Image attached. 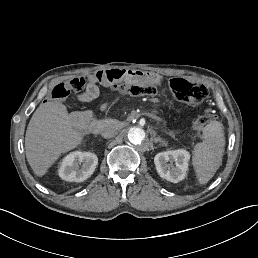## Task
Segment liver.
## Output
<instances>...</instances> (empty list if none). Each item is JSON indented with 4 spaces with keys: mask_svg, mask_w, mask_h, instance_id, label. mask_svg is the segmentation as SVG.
Masks as SVG:
<instances>
[{
    "mask_svg": "<svg viewBox=\"0 0 258 258\" xmlns=\"http://www.w3.org/2000/svg\"><path fill=\"white\" fill-rule=\"evenodd\" d=\"M82 112H67L60 101L41 103L26 131V158L34 173L41 177L59 158L76 148L83 139L79 131Z\"/></svg>",
    "mask_w": 258,
    "mask_h": 258,
    "instance_id": "6515ba94",
    "label": "liver"
}]
</instances>
